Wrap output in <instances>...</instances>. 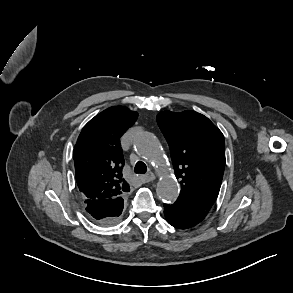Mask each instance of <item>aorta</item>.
I'll return each instance as SVG.
<instances>
[{
	"mask_svg": "<svg viewBox=\"0 0 293 293\" xmlns=\"http://www.w3.org/2000/svg\"><path fill=\"white\" fill-rule=\"evenodd\" d=\"M134 148L159 172L160 180L157 184L159 197L167 202L175 201L179 195V186L171 175L157 138L149 132H141L134 139Z\"/></svg>",
	"mask_w": 293,
	"mask_h": 293,
	"instance_id": "obj_1",
	"label": "aorta"
}]
</instances>
